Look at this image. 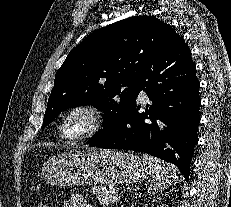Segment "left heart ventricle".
Returning <instances> with one entry per match:
<instances>
[{
  "mask_svg": "<svg viewBox=\"0 0 231 207\" xmlns=\"http://www.w3.org/2000/svg\"><path fill=\"white\" fill-rule=\"evenodd\" d=\"M88 125V118L82 113H77L67 120L65 131L69 136H77L85 132Z\"/></svg>",
  "mask_w": 231,
  "mask_h": 207,
  "instance_id": "1",
  "label": "left heart ventricle"
}]
</instances>
